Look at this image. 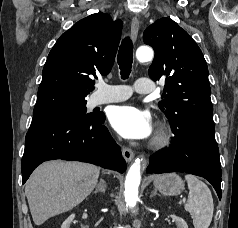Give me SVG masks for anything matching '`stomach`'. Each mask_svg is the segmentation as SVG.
Wrapping results in <instances>:
<instances>
[{
  "mask_svg": "<svg viewBox=\"0 0 238 228\" xmlns=\"http://www.w3.org/2000/svg\"><path fill=\"white\" fill-rule=\"evenodd\" d=\"M153 181L155 188L167 196L178 195L185 188L184 181L176 173L156 175Z\"/></svg>",
  "mask_w": 238,
  "mask_h": 228,
  "instance_id": "1",
  "label": "stomach"
}]
</instances>
